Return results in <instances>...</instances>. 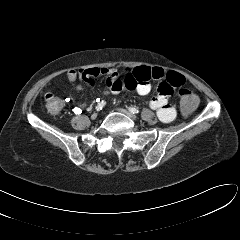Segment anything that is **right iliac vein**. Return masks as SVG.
Instances as JSON below:
<instances>
[{"label": "right iliac vein", "instance_id": "obj_1", "mask_svg": "<svg viewBox=\"0 0 240 240\" xmlns=\"http://www.w3.org/2000/svg\"><path fill=\"white\" fill-rule=\"evenodd\" d=\"M97 118V113H93L92 115H91V119L92 120H95Z\"/></svg>", "mask_w": 240, "mask_h": 240}]
</instances>
